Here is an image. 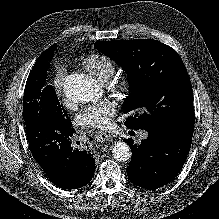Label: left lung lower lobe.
I'll use <instances>...</instances> for the list:
<instances>
[{
    "instance_id": "left-lung-lower-lobe-1",
    "label": "left lung lower lobe",
    "mask_w": 219,
    "mask_h": 219,
    "mask_svg": "<svg viewBox=\"0 0 219 219\" xmlns=\"http://www.w3.org/2000/svg\"><path fill=\"white\" fill-rule=\"evenodd\" d=\"M194 126L179 127L168 132L147 131L140 145L124 141L132 150L127 167L129 180L145 189H157L170 183L182 169L189 153Z\"/></svg>"
}]
</instances>
